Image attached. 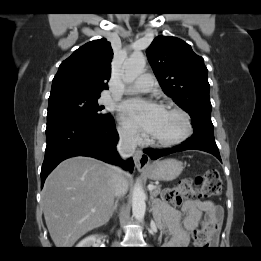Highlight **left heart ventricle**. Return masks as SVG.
<instances>
[{
	"mask_svg": "<svg viewBox=\"0 0 261 261\" xmlns=\"http://www.w3.org/2000/svg\"><path fill=\"white\" fill-rule=\"evenodd\" d=\"M182 128V121L178 115L163 110L159 123L151 137L155 139H171L180 134Z\"/></svg>",
	"mask_w": 261,
	"mask_h": 261,
	"instance_id": "b2bd125f",
	"label": "left heart ventricle"
}]
</instances>
